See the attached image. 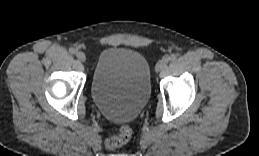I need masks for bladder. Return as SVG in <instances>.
Masks as SVG:
<instances>
[{"label": "bladder", "instance_id": "bladder-1", "mask_svg": "<svg viewBox=\"0 0 259 156\" xmlns=\"http://www.w3.org/2000/svg\"><path fill=\"white\" fill-rule=\"evenodd\" d=\"M90 93L94 104L107 119L115 122L133 120L150 97L148 61L131 49H104L94 68Z\"/></svg>", "mask_w": 259, "mask_h": 156}]
</instances>
